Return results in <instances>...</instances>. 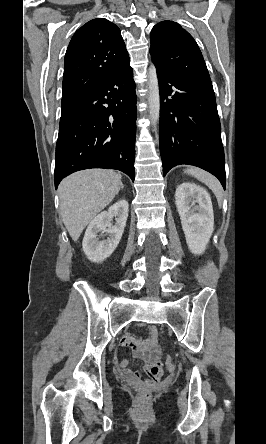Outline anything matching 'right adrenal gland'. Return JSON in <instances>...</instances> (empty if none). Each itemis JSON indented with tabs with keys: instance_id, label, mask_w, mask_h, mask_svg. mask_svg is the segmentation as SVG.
<instances>
[{
	"instance_id": "2a0ac1e0",
	"label": "right adrenal gland",
	"mask_w": 266,
	"mask_h": 444,
	"mask_svg": "<svg viewBox=\"0 0 266 444\" xmlns=\"http://www.w3.org/2000/svg\"><path fill=\"white\" fill-rule=\"evenodd\" d=\"M120 185H121V189H123V188H124V185H123V183H122V182L120 183Z\"/></svg>"
}]
</instances>
